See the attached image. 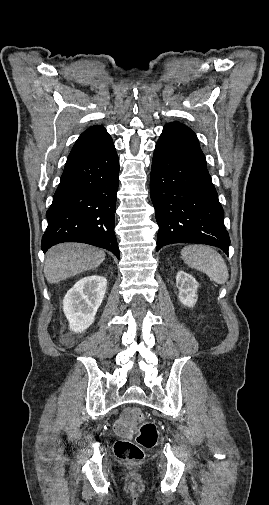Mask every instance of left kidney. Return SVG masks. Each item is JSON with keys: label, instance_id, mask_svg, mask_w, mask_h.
Wrapping results in <instances>:
<instances>
[{"label": "left kidney", "instance_id": "5707ae66", "mask_svg": "<svg viewBox=\"0 0 269 505\" xmlns=\"http://www.w3.org/2000/svg\"><path fill=\"white\" fill-rule=\"evenodd\" d=\"M176 286L179 289L180 302L186 307H194L198 299L197 288L199 287L195 278L180 270L176 275Z\"/></svg>", "mask_w": 269, "mask_h": 505}]
</instances>
